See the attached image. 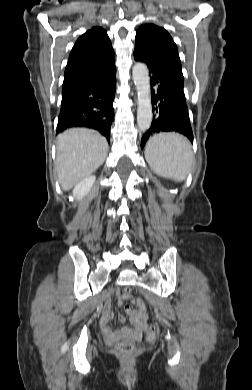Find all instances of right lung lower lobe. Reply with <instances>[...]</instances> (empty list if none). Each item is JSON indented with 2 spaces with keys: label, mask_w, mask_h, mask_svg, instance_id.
Returning <instances> with one entry per match:
<instances>
[{
  "label": "right lung lower lobe",
  "mask_w": 252,
  "mask_h": 390,
  "mask_svg": "<svg viewBox=\"0 0 252 390\" xmlns=\"http://www.w3.org/2000/svg\"><path fill=\"white\" fill-rule=\"evenodd\" d=\"M115 74L114 66L105 76L80 83L62 93L57 133L71 127H88L98 130L110 140V127L114 121Z\"/></svg>",
  "instance_id": "1"
}]
</instances>
